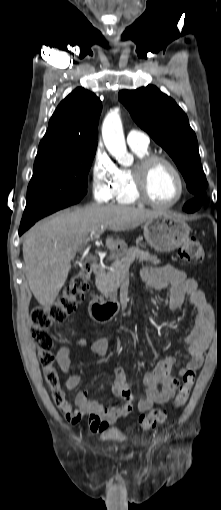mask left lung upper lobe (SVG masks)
Listing matches in <instances>:
<instances>
[{"mask_svg": "<svg viewBox=\"0 0 221 510\" xmlns=\"http://www.w3.org/2000/svg\"><path fill=\"white\" fill-rule=\"evenodd\" d=\"M119 99L134 121L164 148L181 171L196 203L202 205L208 186L201 166L197 138L176 102L157 87L122 90Z\"/></svg>", "mask_w": 221, "mask_h": 510, "instance_id": "obj_1", "label": "left lung upper lobe"}]
</instances>
